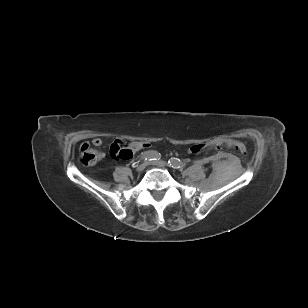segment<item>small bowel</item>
Returning <instances> with one entry per match:
<instances>
[{
  "label": "small bowel",
  "mask_w": 308,
  "mask_h": 308,
  "mask_svg": "<svg viewBox=\"0 0 308 308\" xmlns=\"http://www.w3.org/2000/svg\"><path fill=\"white\" fill-rule=\"evenodd\" d=\"M92 144H93L94 146H96V147H100V146L103 144V140H102L101 138H99V137L94 138V139L92 140ZM114 145H117L116 142H114V143L112 144V146H114ZM139 150H140V149H139ZM136 151H138V150H136Z\"/></svg>",
  "instance_id": "1"
}]
</instances>
